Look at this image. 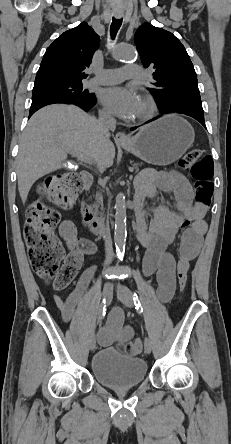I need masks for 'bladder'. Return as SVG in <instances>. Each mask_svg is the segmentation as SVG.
<instances>
[{"label": "bladder", "instance_id": "31cf9c89", "mask_svg": "<svg viewBox=\"0 0 231 444\" xmlns=\"http://www.w3.org/2000/svg\"><path fill=\"white\" fill-rule=\"evenodd\" d=\"M91 372L101 385L122 389L139 385L146 377L147 364L116 349L101 348L91 360Z\"/></svg>", "mask_w": 231, "mask_h": 444}]
</instances>
